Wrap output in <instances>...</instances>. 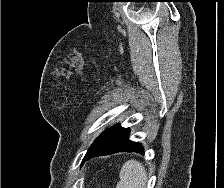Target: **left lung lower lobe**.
I'll use <instances>...</instances> for the list:
<instances>
[{
  "label": "left lung lower lobe",
  "mask_w": 224,
  "mask_h": 188,
  "mask_svg": "<svg viewBox=\"0 0 224 188\" xmlns=\"http://www.w3.org/2000/svg\"><path fill=\"white\" fill-rule=\"evenodd\" d=\"M129 129L115 126L111 128L97 143V145L87 152L82 163L96 157L118 153L121 151L143 152V146L128 139Z\"/></svg>",
  "instance_id": "left-lung-lower-lobe-1"
}]
</instances>
